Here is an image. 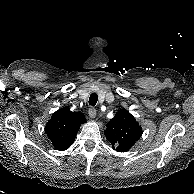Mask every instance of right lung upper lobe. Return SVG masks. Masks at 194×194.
Returning a JSON list of instances; mask_svg holds the SVG:
<instances>
[{
  "label": "right lung upper lobe",
  "instance_id": "obj_1",
  "mask_svg": "<svg viewBox=\"0 0 194 194\" xmlns=\"http://www.w3.org/2000/svg\"><path fill=\"white\" fill-rule=\"evenodd\" d=\"M85 122L82 113L72 112L69 108L63 107L53 113L45 132L55 149L63 151L72 145L81 124Z\"/></svg>",
  "mask_w": 194,
  "mask_h": 194
}]
</instances>
